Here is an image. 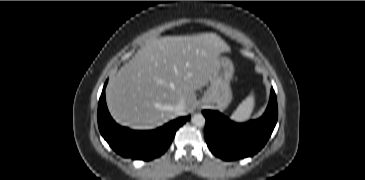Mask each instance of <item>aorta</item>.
Wrapping results in <instances>:
<instances>
[{
    "label": "aorta",
    "instance_id": "aorta-1",
    "mask_svg": "<svg viewBox=\"0 0 365 180\" xmlns=\"http://www.w3.org/2000/svg\"><path fill=\"white\" fill-rule=\"evenodd\" d=\"M191 122L195 126L202 127L205 125L206 120L202 114L198 113V114L193 115V117L191 118Z\"/></svg>",
    "mask_w": 365,
    "mask_h": 180
}]
</instances>
